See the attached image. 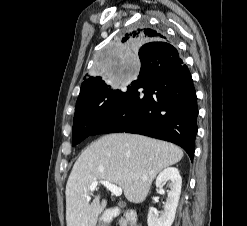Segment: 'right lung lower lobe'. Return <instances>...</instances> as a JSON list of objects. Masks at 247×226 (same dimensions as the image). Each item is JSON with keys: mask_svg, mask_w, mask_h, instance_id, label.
I'll use <instances>...</instances> for the list:
<instances>
[{"mask_svg": "<svg viewBox=\"0 0 247 226\" xmlns=\"http://www.w3.org/2000/svg\"><path fill=\"white\" fill-rule=\"evenodd\" d=\"M141 69L92 135L130 132L173 142L193 160L197 100L188 67L166 41L144 44Z\"/></svg>", "mask_w": 247, "mask_h": 226, "instance_id": "right-lung-lower-lobe-1", "label": "right lung lower lobe"}]
</instances>
